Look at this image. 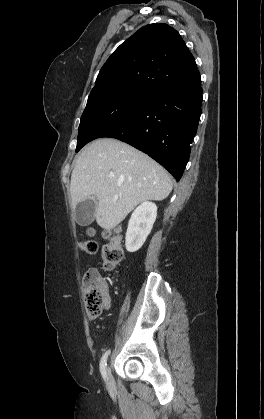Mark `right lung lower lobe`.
Masks as SVG:
<instances>
[{
  "label": "right lung lower lobe",
  "mask_w": 264,
  "mask_h": 419,
  "mask_svg": "<svg viewBox=\"0 0 264 419\" xmlns=\"http://www.w3.org/2000/svg\"><path fill=\"white\" fill-rule=\"evenodd\" d=\"M201 81L152 94L101 137L116 138L148 154L179 181L201 115Z\"/></svg>",
  "instance_id": "98d812e1"
}]
</instances>
